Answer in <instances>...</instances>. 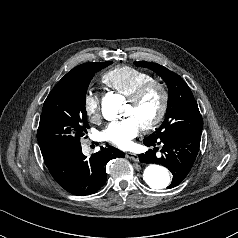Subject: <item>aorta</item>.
Returning <instances> with one entry per match:
<instances>
[{"instance_id": "aorta-1", "label": "aorta", "mask_w": 238, "mask_h": 238, "mask_svg": "<svg viewBox=\"0 0 238 238\" xmlns=\"http://www.w3.org/2000/svg\"><path fill=\"white\" fill-rule=\"evenodd\" d=\"M122 101L118 96H106L102 101V114L106 120L112 121L119 117ZM144 181L155 190L166 189L171 182L169 171L160 165L150 164L143 173Z\"/></svg>"}]
</instances>
